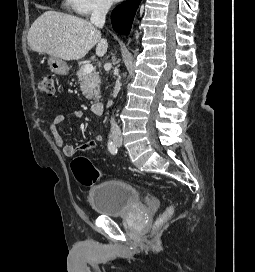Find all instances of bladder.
I'll return each mask as SVG.
<instances>
[{"label":"bladder","mask_w":255,"mask_h":272,"mask_svg":"<svg viewBox=\"0 0 255 272\" xmlns=\"http://www.w3.org/2000/svg\"><path fill=\"white\" fill-rule=\"evenodd\" d=\"M89 203L95 213L114 217L128 213L140 203L138 191L120 180H106L88 192Z\"/></svg>","instance_id":"31cf9c89"}]
</instances>
